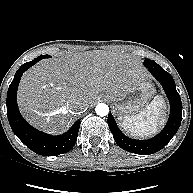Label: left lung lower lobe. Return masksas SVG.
<instances>
[{
  "label": "left lung lower lobe",
  "mask_w": 193,
  "mask_h": 193,
  "mask_svg": "<svg viewBox=\"0 0 193 193\" xmlns=\"http://www.w3.org/2000/svg\"><path fill=\"white\" fill-rule=\"evenodd\" d=\"M144 65L161 83L169 99L171 110L165 128L154 138L141 141L125 136L118 128L111 113L108 115V125L114 140L122 149L131 153L148 155L161 150L179 129L182 119V103L172 76L153 60H146Z\"/></svg>",
  "instance_id": "0a47b994"
}]
</instances>
